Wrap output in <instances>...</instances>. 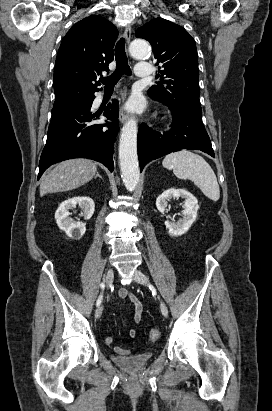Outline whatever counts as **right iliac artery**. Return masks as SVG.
<instances>
[{
    "mask_svg": "<svg viewBox=\"0 0 272 411\" xmlns=\"http://www.w3.org/2000/svg\"><path fill=\"white\" fill-rule=\"evenodd\" d=\"M100 287H101V289L103 290L104 288H105V284L104 283H101L100 284ZM102 297H103V295H102V293L100 294V296L98 297V299H97V302H96V306H100V304H101V302H102ZM108 339H106V341H107Z\"/></svg>",
    "mask_w": 272,
    "mask_h": 411,
    "instance_id": "obj_1",
    "label": "right iliac artery"
}]
</instances>
